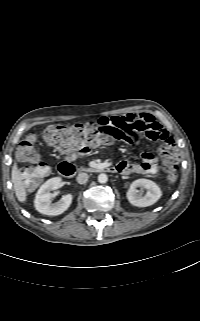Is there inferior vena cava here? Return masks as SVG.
<instances>
[{"label": "inferior vena cava", "mask_w": 200, "mask_h": 321, "mask_svg": "<svg viewBox=\"0 0 200 321\" xmlns=\"http://www.w3.org/2000/svg\"><path fill=\"white\" fill-rule=\"evenodd\" d=\"M89 175L87 173H79L76 177V180L79 184H84L88 181Z\"/></svg>", "instance_id": "inferior-vena-cava-1"}]
</instances>
